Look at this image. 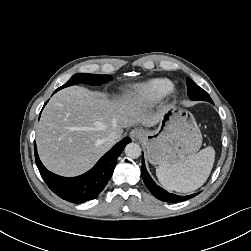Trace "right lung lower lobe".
Returning <instances> with one entry per match:
<instances>
[{"mask_svg":"<svg viewBox=\"0 0 251 251\" xmlns=\"http://www.w3.org/2000/svg\"><path fill=\"white\" fill-rule=\"evenodd\" d=\"M129 142L131 139L125 137L108 151L90 171L78 177L65 178L48 171L38 157L34 142L35 161L43 180L56 195L66 201L79 204L96 198L104 189L112 176L118 156Z\"/></svg>","mask_w":251,"mask_h":251,"instance_id":"obj_1","label":"right lung lower lobe"}]
</instances>
